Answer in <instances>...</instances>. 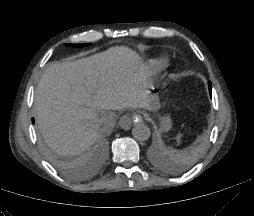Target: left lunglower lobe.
<instances>
[{"label":"left lung lower lobe","instance_id":"0a47b994","mask_svg":"<svg viewBox=\"0 0 254 216\" xmlns=\"http://www.w3.org/2000/svg\"><path fill=\"white\" fill-rule=\"evenodd\" d=\"M208 86H209V91L211 93V82H209Z\"/></svg>","mask_w":254,"mask_h":216}]
</instances>
